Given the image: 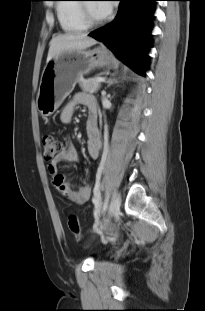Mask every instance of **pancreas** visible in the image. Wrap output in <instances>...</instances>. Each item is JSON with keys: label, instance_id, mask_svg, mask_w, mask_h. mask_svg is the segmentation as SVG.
<instances>
[{"label": "pancreas", "instance_id": "pancreas-1", "mask_svg": "<svg viewBox=\"0 0 205 311\" xmlns=\"http://www.w3.org/2000/svg\"><path fill=\"white\" fill-rule=\"evenodd\" d=\"M97 78H91V79H79V85L81 87V89L84 92H88V93H96L100 87L101 84L99 82L96 81Z\"/></svg>", "mask_w": 205, "mask_h": 311}]
</instances>
